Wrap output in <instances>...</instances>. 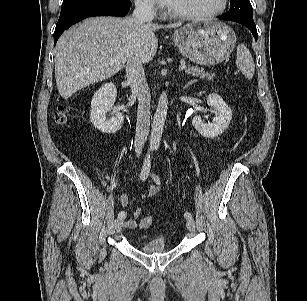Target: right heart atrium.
Wrapping results in <instances>:
<instances>
[{
    "mask_svg": "<svg viewBox=\"0 0 307 301\" xmlns=\"http://www.w3.org/2000/svg\"><path fill=\"white\" fill-rule=\"evenodd\" d=\"M135 5L138 10L146 14H155L157 6L155 0H135Z\"/></svg>",
    "mask_w": 307,
    "mask_h": 301,
    "instance_id": "right-heart-atrium-1",
    "label": "right heart atrium"
}]
</instances>
